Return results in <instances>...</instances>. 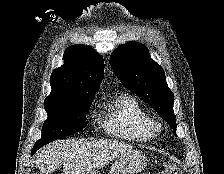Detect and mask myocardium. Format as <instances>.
Masks as SVG:
<instances>
[{"mask_svg":"<svg viewBox=\"0 0 224 174\" xmlns=\"http://www.w3.org/2000/svg\"><path fill=\"white\" fill-rule=\"evenodd\" d=\"M154 131H160L161 125L158 122L152 121Z\"/></svg>","mask_w":224,"mask_h":174,"instance_id":"f54148a6","label":"myocardium"}]
</instances>
